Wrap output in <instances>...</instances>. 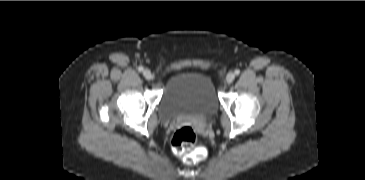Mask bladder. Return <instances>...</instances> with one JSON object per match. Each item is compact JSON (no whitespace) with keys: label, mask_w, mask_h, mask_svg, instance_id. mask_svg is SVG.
Instances as JSON below:
<instances>
[{"label":"bladder","mask_w":365,"mask_h":180,"mask_svg":"<svg viewBox=\"0 0 365 180\" xmlns=\"http://www.w3.org/2000/svg\"><path fill=\"white\" fill-rule=\"evenodd\" d=\"M219 99L212 79L205 73L184 70L175 73L164 88L159 117L175 120L214 114Z\"/></svg>","instance_id":"bladder-1"}]
</instances>
